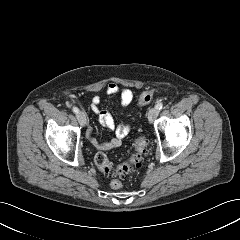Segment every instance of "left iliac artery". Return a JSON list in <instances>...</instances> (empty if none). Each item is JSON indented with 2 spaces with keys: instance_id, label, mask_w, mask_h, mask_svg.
<instances>
[{
  "instance_id": "1",
  "label": "left iliac artery",
  "mask_w": 240,
  "mask_h": 240,
  "mask_svg": "<svg viewBox=\"0 0 240 240\" xmlns=\"http://www.w3.org/2000/svg\"><path fill=\"white\" fill-rule=\"evenodd\" d=\"M156 108H157L158 110L162 109V108H163V104H162V103H158V104L156 105Z\"/></svg>"
}]
</instances>
